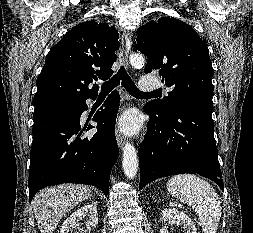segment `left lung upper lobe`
Masks as SVG:
<instances>
[{
	"label": "left lung upper lobe",
	"mask_w": 253,
	"mask_h": 233,
	"mask_svg": "<svg viewBox=\"0 0 253 233\" xmlns=\"http://www.w3.org/2000/svg\"><path fill=\"white\" fill-rule=\"evenodd\" d=\"M136 48L147 56L145 73L157 71L173 90L150 102L163 119L179 107H213V68L209 50L197 32L173 17L150 20L137 31Z\"/></svg>",
	"instance_id": "left-lung-upper-lobe-1"
}]
</instances>
